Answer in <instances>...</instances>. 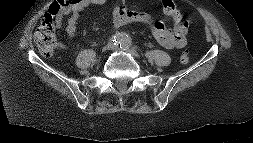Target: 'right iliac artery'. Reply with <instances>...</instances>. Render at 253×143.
<instances>
[{
    "label": "right iliac artery",
    "mask_w": 253,
    "mask_h": 143,
    "mask_svg": "<svg viewBox=\"0 0 253 143\" xmlns=\"http://www.w3.org/2000/svg\"><path fill=\"white\" fill-rule=\"evenodd\" d=\"M123 40V34H116L112 39L111 42L114 45H120L122 43Z\"/></svg>",
    "instance_id": "right-iliac-artery-1"
}]
</instances>
